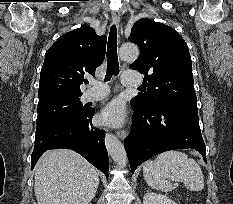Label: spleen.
<instances>
[{
	"mask_svg": "<svg viewBox=\"0 0 233 204\" xmlns=\"http://www.w3.org/2000/svg\"><path fill=\"white\" fill-rule=\"evenodd\" d=\"M143 176L147 184L158 191L173 190L171 181L184 182L187 189L201 191L204 178L199 164L181 151H167L143 166Z\"/></svg>",
	"mask_w": 233,
	"mask_h": 204,
	"instance_id": "spleen-1",
	"label": "spleen"
}]
</instances>
